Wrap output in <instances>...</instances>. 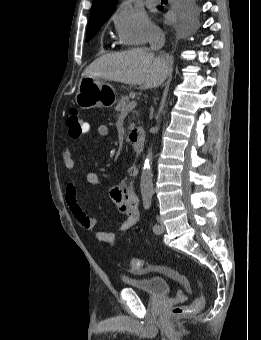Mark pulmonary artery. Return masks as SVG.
<instances>
[{"mask_svg": "<svg viewBox=\"0 0 261 340\" xmlns=\"http://www.w3.org/2000/svg\"><path fill=\"white\" fill-rule=\"evenodd\" d=\"M149 2H152V3H156L158 2L159 0H148Z\"/></svg>", "mask_w": 261, "mask_h": 340, "instance_id": "1", "label": "pulmonary artery"}]
</instances>
